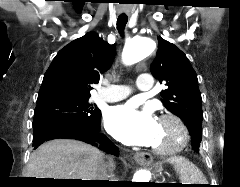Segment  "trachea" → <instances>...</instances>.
Wrapping results in <instances>:
<instances>
[{"label":"trachea","instance_id":"trachea-1","mask_svg":"<svg viewBox=\"0 0 240 187\" xmlns=\"http://www.w3.org/2000/svg\"><path fill=\"white\" fill-rule=\"evenodd\" d=\"M128 22L127 17H118L117 19V29L121 35H123L124 28Z\"/></svg>","mask_w":240,"mask_h":187}]
</instances>
